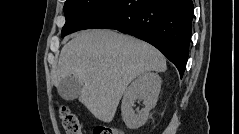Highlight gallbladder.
I'll return each mask as SVG.
<instances>
[{"label":"gallbladder","mask_w":239,"mask_h":134,"mask_svg":"<svg viewBox=\"0 0 239 134\" xmlns=\"http://www.w3.org/2000/svg\"><path fill=\"white\" fill-rule=\"evenodd\" d=\"M57 90L63 99L71 101L80 95L81 85L73 76H68L59 83Z\"/></svg>","instance_id":"gallbladder-1"}]
</instances>
